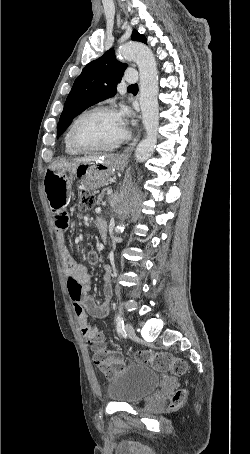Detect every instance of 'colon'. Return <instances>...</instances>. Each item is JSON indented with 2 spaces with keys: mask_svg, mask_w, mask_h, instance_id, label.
<instances>
[{
  "mask_svg": "<svg viewBox=\"0 0 250 454\" xmlns=\"http://www.w3.org/2000/svg\"><path fill=\"white\" fill-rule=\"evenodd\" d=\"M94 205V196L83 191L79 198V209L87 211ZM94 361L98 368L106 375L113 376L126 366L124 357L118 353H113L105 349L102 345V336L97 331L93 335ZM135 360L141 363H148L153 369L159 372H169L174 375H182L186 371V363L167 352L138 351ZM186 398V390L178 389L172 397L173 406L181 405Z\"/></svg>",
  "mask_w": 250,
  "mask_h": 454,
  "instance_id": "1",
  "label": "colon"
}]
</instances>
